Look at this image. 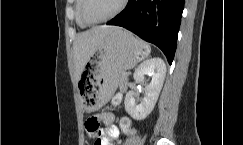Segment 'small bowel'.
<instances>
[{
    "mask_svg": "<svg viewBox=\"0 0 243 145\" xmlns=\"http://www.w3.org/2000/svg\"><path fill=\"white\" fill-rule=\"evenodd\" d=\"M97 118L105 124L106 127L95 134H89V136L93 139L92 145H113L114 141L120 143V132L119 128L114 124V115L111 113H101L97 116Z\"/></svg>",
    "mask_w": 243,
    "mask_h": 145,
    "instance_id": "obj_1",
    "label": "small bowel"
}]
</instances>
